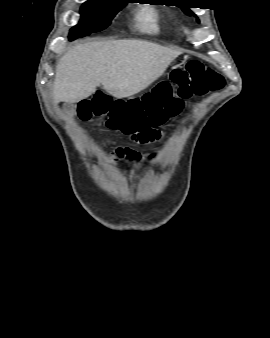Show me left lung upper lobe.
<instances>
[{
	"label": "left lung upper lobe",
	"mask_w": 270,
	"mask_h": 338,
	"mask_svg": "<svg viewBox=\"0 0 270 338\" xmlns=\"http://www.w3.org/2000/svg\"><path fill=\"white\" fill-rule=\"evenodd\" d=\"M180 8H182V10L187 14V15H190V16H196L190 9L189 7H182L180 6ZM191 8V7H190Z\"/></svg>",
	"instance_id": "1"
}]
</instances>
